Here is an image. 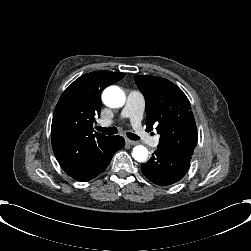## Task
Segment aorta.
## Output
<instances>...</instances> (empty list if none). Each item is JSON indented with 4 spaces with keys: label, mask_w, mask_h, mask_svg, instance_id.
Listing matches in <instances>:
<instances>
[{
    "label": "aorta",
    "mask_w": 251,
    "mask_h": 251,
    "mask_svg": "<svg viewBox=\"0 0 251 251\" xmlns=\"http://www.w3.org/2000/svg\"><path fill=\"white\" fill-rule=\"evenodd\" d=\"M102 99L111 108L123 107L126 103L125 93L118 86L106 88L102 94ZM132 157L138 162H144L148 157V149L143 145H136L132 149Z\"/></svg>",
    "instance_id": "obj_1"
}]
</instances>
